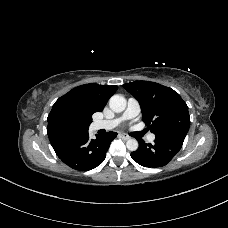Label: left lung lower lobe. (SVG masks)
Wrapping results in <instances>:
<instances>
[{
	"mask_svg": "<svg viewBox=\"0 0 228 228\" xmlns=\"http://www.w3.org/2000/svg\"><path fill=\"white\" fill-rule=\"evenodd\" d=\"M185 136L168 134L156 136L154 144L139 140V148L131 153L135 162L144 167L157 168L167 165L182 147Z\"/></svg>",
	"mask_w": 228,
	"mask_h": 228,
	"instance_id": "obj_1",
	"label": "left lung lower lobe"
}]
</instances>
